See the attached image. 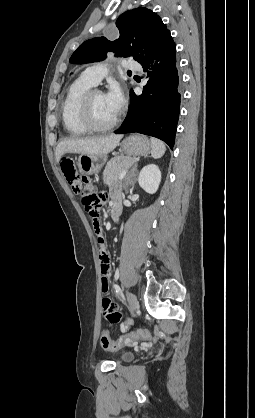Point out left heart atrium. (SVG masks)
I'll return each instance as SVG.
<instances>
[{"instance_id": "obj_1", "label": "left heart atrium", "mask_w": 255, "mask_h": 418, "mask_svg": "<svg viewBox=\"0 0 255 418\" xmlns=\"http://www.w3.org/2000/svg\"><path fill=\"white\" fill-rule=\"evenodd\" d=\"M105 99L115 114L119 113L125 105V96L118 86H112L105 94Z\"/></svg>"}]
</instances>
